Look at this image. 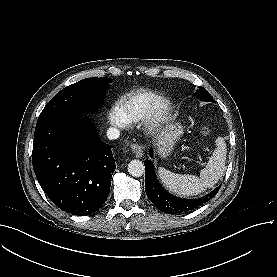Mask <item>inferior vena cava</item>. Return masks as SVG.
Listing matches in <instances>:
<instances>
[{"label":"inferior vena cava","mask_w":277,"mask_h":277,"mask_svg":"<svg viewBox=\"0 0 277 277\" xmlns=\"http://www.w3.org/2000/svg\"><path fill=\"white\" fill-rule=\"evenodd\" d=\"M120 136V131L119 129L115 128V127H110L107 130V137L110 140H114V139H118Z\"/></svg>","instance_id":"obj_1"}]
</instances>
